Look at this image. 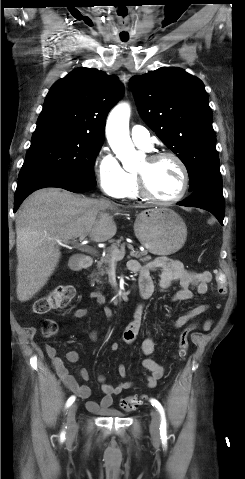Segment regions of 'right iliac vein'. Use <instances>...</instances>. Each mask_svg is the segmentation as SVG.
Wrapping results in <instances>:
<instances>
[{"label":"right iliac vein","mask_w":245,"mask_h":479,"mask_svg":"<svg viewBox=\"0 0 245 479\" xmlns=\"http://www.w3.org/2000/svg\"><path fill=\"white\" fill-rule=\"evenodd\" d=\"M76 411H77V405L73 404L69 407L68 413H67V427H68V433H74L77 429V423H76Z\"/></svg>","instance_id":"1"}]
</instances>
